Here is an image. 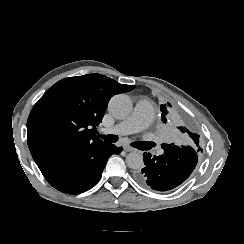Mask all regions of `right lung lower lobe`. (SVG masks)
I'll list each match as a JSON object with an SVG mask.
<instances>
[{"instance_id": "obj_1", "label": "right lung lower lobe", "mask_w": 244, "mask_h": 244, "mask_svg": "<svg viewBox=\"0 0 244 244\" xmlns=\"http://www.w3.org/2000/svg\"><path fill=\"white\" fill-rule=\"evenodd\" d=\"M121 151L122 147L96 142L36 163L54 188L64 193L78 194L97 184L108 158Z\"/></svg>"}]
</instances>
